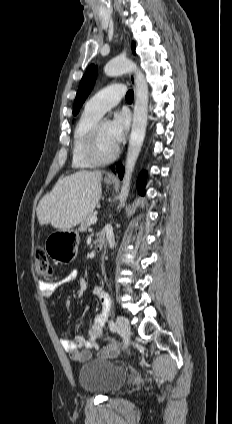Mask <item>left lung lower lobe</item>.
Instances as JSON below:
<instances>
[{"instance_id": "left-lung-lower-lobe-1", "label": "left lung lower lobe", "mask_w": 232, "mask_h": 424, "mask_svg": "<svg viewBox=\"0 0 232 424\" xmlns=\"http://www.w3.org/2000/svg\"><path fill=\"white\" fill-rule=\"evenodd\" d=\"M118 172H119L118 173L119 178L122 179L123 174H124V168L122 167L121 164L118 166ZM145 177H146L145 172H142L140 174L139 181H138V192L141 195H144L145 194V190H144Z\"/></svg>"}]
</instances>
